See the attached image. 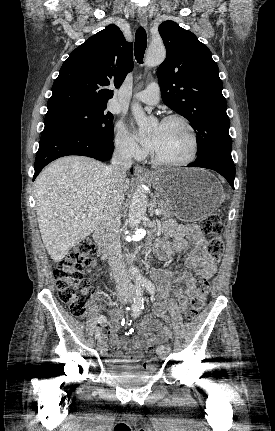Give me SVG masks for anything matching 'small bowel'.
Instances as JSON below:
<instances>
[{
  "mask_svg": "<svg viewBox=\"0 0 275 431\" xmlns=\"http://www.w3.org/2000/svg\"><path fill=\"white\" fill-rule=\"evenodd\" d=\"M164 232L172 241L160 238L155 242L156 256L163 261L171 260L176 254L190 250L183 266L184 272H166L167 277H174L175 282L184 284V289L173 291L175 305L162 301L153 306L152 314L145 317L138 327L134 338H119L117 332L121 323V311L115 309L111 313V322L105 326V332L98 341L101 353L105 357L116 360L136 361L147 347L166 342L172 335L169 323L171 318L186 309L188 298L195 293L198 276L211 277L216 271L215 260L207 253V239L195 224H178L169 220L164 225ZM163 294L167 292L164 290ZM162 320H160V319ZM119 350L115 354L109 351V343ZM122 350L126 352L123 353Z\"/></svg>",
  "mask_w": 275,
  "mask_h": 431,
  "instance_id": "1",
  "label": "small bowel"
}]
</instances>
